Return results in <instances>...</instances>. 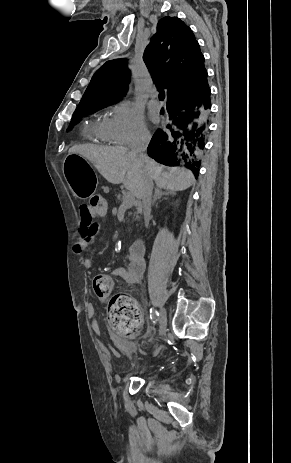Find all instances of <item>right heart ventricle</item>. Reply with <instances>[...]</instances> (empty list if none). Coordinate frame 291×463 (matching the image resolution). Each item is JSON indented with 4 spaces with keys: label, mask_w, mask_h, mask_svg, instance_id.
<instances>
[{
    "label": "right heart ventricle",
    "mask_w": 291,
    "mask_h": 463,
    "mask_svg": "<svg viewBox=\"0 0 291 463\" xmlns=\"http://www.w3.org/2000/svg\"><path fill=\"white\" fill-rule=\"evenodd\" d=\"M109 118H99L85 127L86 137L95 142L109 143L112 142L108 133Z\"/></svg>",
    "instance_id": "right-heart-ventricle-1"
}]
</instances>
